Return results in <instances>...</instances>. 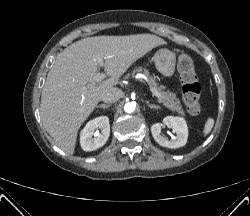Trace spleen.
I'll use <instances>...</instances> for the list:
<instances>
[{"mask_svg":"<svg viewBox=\"0 0 250 216\" xmlns=\"http://www.w3.org/2000/svg\"><path fill=\"white\" fill-rule=\"evenodd\" d=\"M214 126V118L209 117L204 124V128H203V137L205 138L212 130Z\"/></svg>","mask_w":250,"mask_h":216,"instance_id":"1","label":"spleen"}]
</instances>
